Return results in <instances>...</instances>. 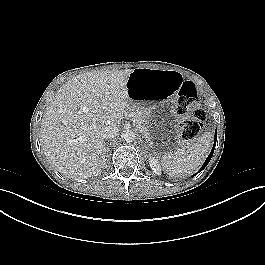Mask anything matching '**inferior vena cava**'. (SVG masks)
Here are the masks:
<instances>
[{
	"label": "inferior vena cava",
	"mask_w": 265,
	"mask_h": 265,
	"mask_svg": "<svg viewBox=\"0 0 265 265\" xmlns=\"http://www.w3.org/2000/svg\"><path fill=\"white\" fill-rule=\"evenodd\" d=\"M119 129L115 126H106L101 129V137L105 140L112 139L118 135Z\"/></svg>",
	"instance_id": "obj_1"
}]
</instances>
